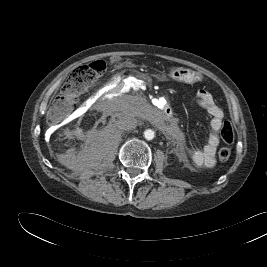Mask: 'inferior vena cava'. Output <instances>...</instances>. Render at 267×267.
I'll use <instances>...</instances> for the list:
<instances>
[{
    "label": "inferior vena cava",
    "instance_id": "obj_1",
    "mask_svg": "<svg viewBox=\"0 0 267 267\" xmlns=\"http://www.w3.org/2000/svg\"><path fill=\"white\" fill-rule=\"evenodd\" d=\"M116 126L122 131L133 130L137 126V120L131 116H123L116 121Z\"/></svg>",
    "mask_w": 267,
    "mask_h": 267
}]
</instances>
